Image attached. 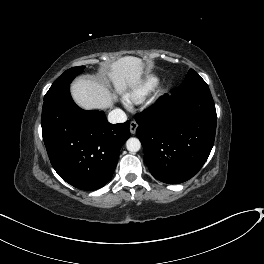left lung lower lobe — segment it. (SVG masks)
Listing matches in <instances>:
<instances>
[{
  "instance_id": "0a47b994",
  "label": "left lung lower lobe",
  "mask_w": 264,
  "mask_h": 264,
  "mask_svg": "<svg viewBox=\"0 0 264 264\" xmlns=\"http://www.w3.org/2000/svg\"><path fill=\"white\" fill-rule=\"evenodd\" d=\"M151 174L168 184L192 178L213 147L217 115L207 84L180 86L135 116Z\"/></svg>"
}]
</instances>
